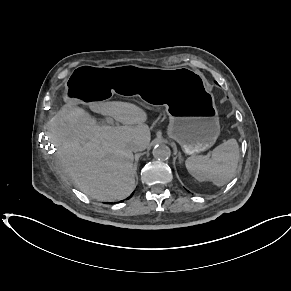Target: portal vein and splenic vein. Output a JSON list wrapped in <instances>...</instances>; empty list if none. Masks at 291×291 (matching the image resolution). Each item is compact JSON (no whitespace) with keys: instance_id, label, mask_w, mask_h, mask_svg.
<instances>
[{"instance_id":"portal-vein-and-splenic-vein-1","label":"portal vein and splenic vein","mask_w":291,"mask_h":291,"mask_svg":"<svg viewBox=\"0 0 291 291\" xmlns=\"http://www.w3.org/2000/svg\"><path fill=\"white\" fill-rule=\"evenodd\" d=\"M106 122H107L108 124H112V123H113V120H112V118H107V119H106Z\"/></svg>"}]
</instances>
